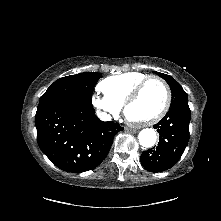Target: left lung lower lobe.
Here are the masks:
<instances>
[{"label": "left lung lower lobe", "instance_id": "obj_1", "mask_svg": "<svg viewBox=\"0 0 221 221\" xmlns=\"http://www.w3.org/2000/svg\"><path fill=\"white\" fill-rule=\"evenodd\" d=\"M190 108L188 104L173 105L164 118L153 127L160 134L156 147L143 151L140 160L150 172H162L181 158L189 141Z\"/></svg>", "mask_w": 221, "mask_h": 221}]
</instances>
